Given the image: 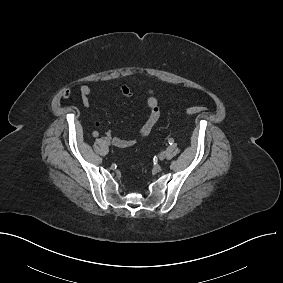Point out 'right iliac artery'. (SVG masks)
I'll list each match as a JSON object with an SVG mask.
<instances>
[{
	"label": "right iliac artery",
	"mask_w": 283,
	"mask_h": 283,
	"mask_svg": "<svg viewBox=\"0 0 283 283\" xmlns=\"http://www.w3.org/2000/svg\"><path fill=\"white\" fill-rule=\"evenodd\" d=\"M93 136H94V137H97V136H98V132H97V131H94V132H93Z\"/></svg>",
	"instance_id": "obj_1"
}]
</instances>
